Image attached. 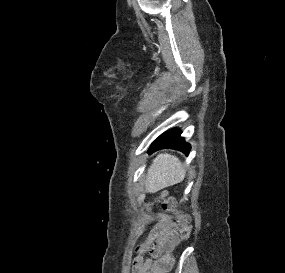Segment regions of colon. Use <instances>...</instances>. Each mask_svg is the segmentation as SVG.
Segmentation results:
<instances>
[{"label": "colon", "instance_id": "colon-1", "mask_svg": "<svg viewBox=\"0 0 285 273\" xmlns=\"http://www.w3.org/2000/svg\"><path fill=\"white\" fill-rule=\"evenodd\" d=\"M158 201L160 202L161 208L164 211L170 212L174 215V223L177 227L180 237L182 239H188L191 234L189 216L176 208V202L174 198L168 196V193L165 190L160 193Z\"/></svg>", "mask_w": 285, "mask_h": 273}]
</instances>
